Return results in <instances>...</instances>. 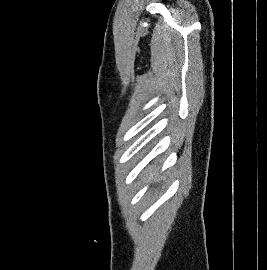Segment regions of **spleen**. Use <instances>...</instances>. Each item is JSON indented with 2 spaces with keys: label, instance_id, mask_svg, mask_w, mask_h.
<instances>
[{
  "label": "spleen",
  "instance_id": "3e777b00",
  "mask_svg": "<svg viewBox=\"0 0 267 270\" xmlns=\"http://www.w3.org/2000/svg\"><path fill=\"white\" fill-rule=\"evenodd\" d=\"M151 171H152V168L149 167V168L146 170V173H147V172H151ZM156 171H157V170H155L154 173H156ZM150 177H153V174H152V173H150Z\"/></svg>",
  "mask_w": 267,
  "mask_h": 270
}]
</instances>
